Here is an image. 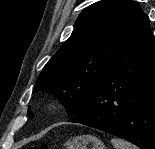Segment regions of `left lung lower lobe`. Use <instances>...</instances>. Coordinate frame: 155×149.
Masks as SVG:
<instances>
[{"mask_svg":"<svg viewBox=\"0 0 155 149\" xmlns=\"http://www.w3.org/2000/svg\"><path fill=\"white\" fill-rule=\"evenodd\" d=\"M68 122L99 129L141 149H155V41L147 15Z\"/></svg>","mask_w":155,"mask_h":149,"instance_id":"0a47b994","label":"left lung lower lobe"}]
</instances>
